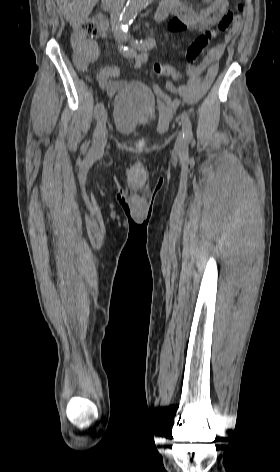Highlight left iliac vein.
<instances>
[{
    "label": "left iliac vein",
    "instance_id": "obj_1",
    "mask_svg": "<svg viewBox=\"0 0 280 472\" xmlns=\"http://www.w3.org/2000/svg\"><path fill=\"white\" fill-rule=\"evenodd\" d=\"M186 148H187V140L183 136V132L180 131L176 139L175 149L178 152H184Z\"/></svg>",
    "mask_w": 280,
    "mask_h": 472
}]
</instances>
